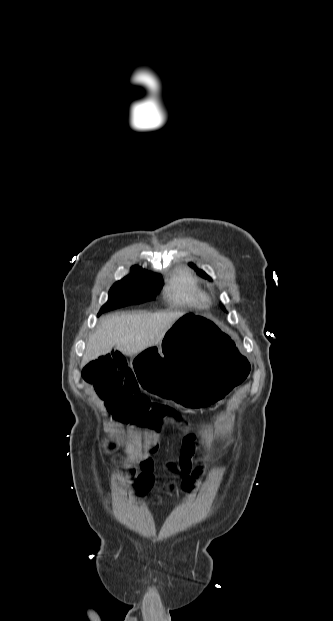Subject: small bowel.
<instances>
[{
  "instance_id": "obj_1",
  "label": "small bowel",
  "mask_w": 333,
  "mask_h": 621,
  "mask_svg": "<svg viewBox=\"0 0 333 621\" xmlns=\"http://www.w3.org/2000/svg\"><path fill=\"white\" fill-rule=\"evenodd\" d=\"M81 375L118 423L159 432L167 421L179 420L177 413L170 407L153 402L139 392L136 377L125 355L118 349L90 359L83 367ZM196 450L194 437L186 436L181 444L178 462L173 466L182 475V484L187 490L191 489L201 471L193 465ZM152 468L151 461L143 462L144 471L138 483L142 491H146L153 484Z\"/></svg>"
}]
</instances>
